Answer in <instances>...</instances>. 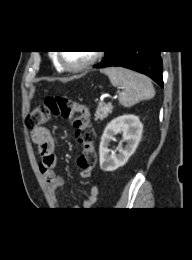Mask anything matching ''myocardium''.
<instances>
[{
    "instance_id": "1",
    "label": "myocardium",
    "mask_w": 192,
    "mask_h": 260,
    "mask_svg": "<svg viewBox=\"0 0 192 260\" xmlns=\"http://www.w3.org/2000/svg\"><path fill=\"white\" fill-rule=\"evenodd\" d=\"M62 54H63L62 52H58V55H57L58 63L62 68H64L67 71H70V72L83 71V70L87 69L88 67H90L91 65H93L100 57L99 52H94L93 55L84 63H82L80 65L72 66L65 62Z\"/></svg>"
}]
</instances>
